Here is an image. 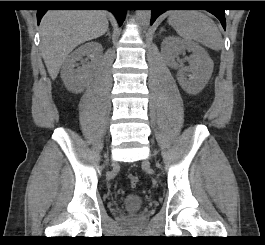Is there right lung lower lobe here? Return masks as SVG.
I'll use <instances>...</instances> for the list:
<instances>
[{
    "label": "right lung lower lobe",
    "instance_id": "obj_1",
    "mask_svg": "<svg viewBox=\"0 0 265 245\" xmlns=\"http://www.w3.org/2000/svg\"><path fill=\"white\" fill-rule=\"evenodd\" d=\"M91 2V1H90ZM80 3V5L78 6H82V7H106L108 11H111L119 25H121L124 21V17H125V9L121 8L122 7V3L121 1H95L97 3ZM57 6H69L66 5L64 3H61L60 5ZM46 9H40L37 10V22L38 24L40 23L41 18L43 17V15L46 13Z\"/></svg>",
    "mask_w": 265,
    "mask_h": 245
}]
</instances>
